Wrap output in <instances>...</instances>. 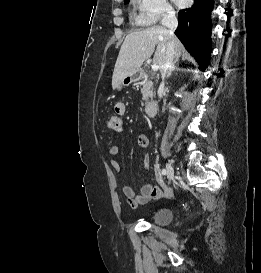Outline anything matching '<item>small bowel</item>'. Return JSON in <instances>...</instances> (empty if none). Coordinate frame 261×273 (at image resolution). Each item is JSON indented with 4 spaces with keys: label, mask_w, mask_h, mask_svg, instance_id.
Listing matches in <instances>:
<instances>
[{
    "label": "small bowel",
    "mask_w": 261,
    "mask_h": 273,
    "mask_svg": "<svg viewBox=\"0 0 261 273\" xmlns=\"http://www.w3.org/2000/svg\"><path fill=\"white\" fill-rule=\"evenodd\" d=\"M115 114L123 116L126 113V105L122 102H119L115 105L114 108ZM118 132L123 131V126L120 130H117ZM138 145L142 150H145L148 147L149 140L146 135L140 134L138 136ZM109 153L112 156H115L119 153V147L117 145H113L109 149ZM110 165L112 170L116 174H121L122 172V167L120 163L116 159H111ZM144 166L147 168L148 167V157L145 156L144 158ZM122 193L124 197L126 198L129 206L133 209L137 208L139 205H144L149 202H156L159 201L163 197V192L154 187L150 183H145L141 191L138 195H136L134 189L128 185H124L122 187Z\"/></svg>",
    "instance_id": "c3829d8e"
}]
</instances>
